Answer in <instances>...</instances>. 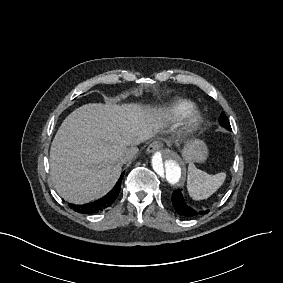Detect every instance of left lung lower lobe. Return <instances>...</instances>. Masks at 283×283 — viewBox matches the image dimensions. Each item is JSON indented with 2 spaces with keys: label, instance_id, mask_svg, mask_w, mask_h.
<instances>
[{
  "label": "left lung lower lobe",
  "instance_id": "0a47b994",
  "mask_svg": "<svg viewBox=\"0 0 283 283\" xmlns=\"http://www.w3.org/2000/svg\"><path fill=\"white\" fill-rule=\"evenodd\" d=\"M219 122H220L221 126L226 128L227 130H230V131L232 130L230 123H229L226 115L223 112L221 113V116L219 118ZM181 191L182 190L178 189V190H176L172 193V203H173L174 208L176 209L177 212H179L181 215L186 216V217H193V216H196L198 214L208 213V211L197 212V211L191 209L190 207H188L183 200V196L181 194Z\"/></svg>",
  "mask_w": 283,
  "mask_h": 283
}]
</instances>
